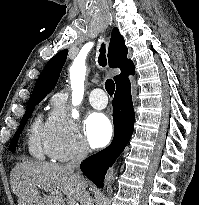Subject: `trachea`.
Returning <instances> with one entry per match:
<instances>
[{
	"instance_id": "trachea-1",
	"label": "trachea",
	"mask_w": 199,
	"mask_h": 205,
	"mask_svg": "<svg viewBox=\"0 0 199 205\" xmlns=\"http://www.w3.org/2000/svg\"><path fill=\"white\" fill-rule=\"evenodd\" d=\"M100 55L98 57V63L100 66H103L105 67L106 66V57H105V45L102 44L101 45V48H100ZM105 89L106 91L108 92L109 95H113L114 94V91H115V83L112 79H107L106 82H105Z\"/></svg>"
}]
</instances>
